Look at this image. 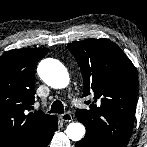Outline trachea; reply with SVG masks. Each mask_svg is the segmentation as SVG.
<instances>
[{
	"label": "trachea",
	"mask_w": 147,
	"mask_h": 147,
	"mask_svg": "<svg viewBox=\"0 0 147 147\" xmlns=\"http://www.w3.org/2000/svg\"><path fill=\"white\" fill-rule=\"evenodd\" d=\"M49 113H58L63 114L64 113V107L61 101L56 100L51 105V109L49 110Z\"/></svg>",
	"instance_id": "1"
}]
</instances>
